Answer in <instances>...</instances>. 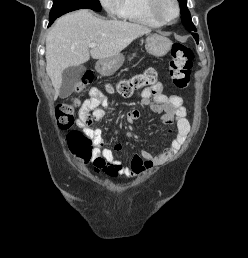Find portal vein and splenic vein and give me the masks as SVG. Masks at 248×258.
<instances>
[{"label": "portal vein and splenic vein", "mask_w": 248, "mask_h": 258, "mask_svg": "<svg viewBox=\"0 0 248 258\" xmlns=\"http://www.w3.org/2000/svg\"><path fill=\"white\" fill-rule=\"evenodd\" d=\"M88 46H89L90 48H94V47L97 46V44H96V43H90Z\"/></svg>", "instance_id": "portal-vein-and-splenic-vein-1"}]
</instances>
